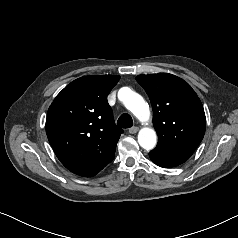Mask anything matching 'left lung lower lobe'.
Masks as SVG:
<instances>
[{
	"mask_svg": "<svg viewBox=\"0 0 238 238\" xmlns=\"http://www.w3.org/2000/svg\"><path fill=\"white\" fill-rule=\"evenodd\" d=\"M149 157L155 164L163 168L180 165L190 158L188 155L174 154L158 147L150 151Z\"/></svg>",
	"mask_w": 238,
	"mask_h": 238,
	"instance_id": "1",
	"label": "left lung lower lobe"
}]
</instances>
